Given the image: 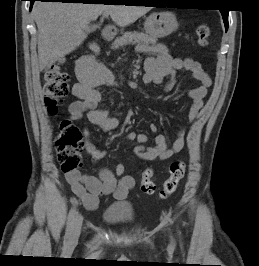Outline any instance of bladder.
<instances>
[{
	"mask_svg": "<svg viewBox=\"0 0 259 266\" xmlns=\"http://www.w3.org/2000/svg\"><path fill=\"white\" fill-rule=\"evenodd\" d=\"M133 206L128 202L114 203L103 212V220L111 225H116L132 220Z\"/></svg>",
	"mask_w": 259,
	"mask_h": 266,
	"instance_id": "bladder-1",
	"label": "bladder"
}]
</instances>
